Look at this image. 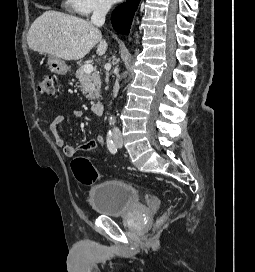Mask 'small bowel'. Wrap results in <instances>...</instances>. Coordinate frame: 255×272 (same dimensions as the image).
Wrapping results in <instances>:
<instances>
[{
    "instance_id": "1",
    "label": "small bowel",
    "mask_w": 255,
    "mask_h": 272,
    "mask_svg": "<svg viewBox=\"0 0 255 272\" xmlns=\"http://www.w3.org/2000/svg\"><path fill=\"white\" fill-rule=\"evenodd\" d=\"M73 116L75 118H82L84 116V112L81 109H75L73 111ZM65 116L63 115H57L52 122L50 123V132L53 136V142L54 144L61 148L63 151V154L67 157H73L78 150L80 151H92L99 146L103 145L104 138L102 135H96L94 138L82 142L77 147L67 144L65 139L60 133V126L64 123Z\"/></svg>"
}]
</instances>
